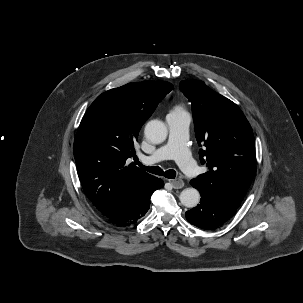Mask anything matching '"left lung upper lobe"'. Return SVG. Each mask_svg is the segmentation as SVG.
Here are the masks:
<instances>
[{"instance_id": "5c2ea615", "label": "left lung upper lobe", "mask_w": 303, "mask_h": 303, "mask_svg": "<svg viewBox=\"0 0 303 303\" xmlns=\"http://www.w3.org/2000/svg\"><path fill=\"white\" fill-rule=\"evenodd\" d=\"M180 90L192 104L201 163L209 168L191 183L240 207L255 174L254 136L248 120L234 102L200 80H184Z\"/></svg>"}]
</instances>
